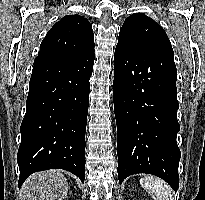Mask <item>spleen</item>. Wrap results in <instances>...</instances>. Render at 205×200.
<instances>
[{
  "label": "spleen",
  "mask_w": 205,
  "mask_h": 200,
  "mask_svg": "<svg viewBox=\"0 0 205 200\" xmlns=\"http://www.w3.org/2000/svg\"><path fill=\"white\" fill-rule=\"evenodd\" d=\"M140 185L154 200H173L171 187L159 177L146 175L140 179Z\"/></svg>",
  "instance_id": "1"
}]
</instances>
